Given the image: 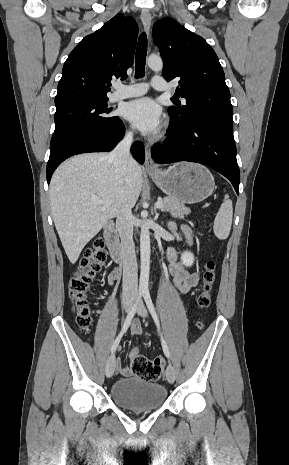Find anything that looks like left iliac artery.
Segmentation results:
<instances>
[{
	"mask_svg": "<svg viewBox=\"0 0 289 465\" xmlns=\"http://www.w3.org/2000/svg\"><path fill=\"white\" fill-rule=\"evenodd\" d=\"M143 297H144V300L146 302V305L155 321V324L157 326V329L160 333L161 329H160V323H159V319H158V316H157V313L155 311V308H154V305H153V302H152V299H151V296H150V293L148 291H145L143 293ZM161 335V344H162V348H163V352L164 354L166 355L167 358L170 357V353H169V349H168V346L164 340V338L162 337V334L160 333Z\"/></svg>",
	"mask_w": 289,
	"mask_h": 465,
	"instance_id": "1",
	"label": "left iliac artery"
}]
</instances>
